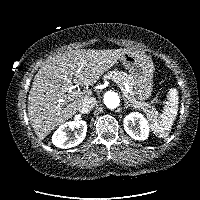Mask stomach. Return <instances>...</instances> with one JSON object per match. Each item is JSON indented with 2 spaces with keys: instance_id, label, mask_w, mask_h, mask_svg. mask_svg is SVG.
Listing matches in <instances>:
<instances>
[{
  "instance_id": "0dacf381",
  "label": "stomach",
  "mask_w": 200,
  "mask_h": 200,
  "mask_svg": "<svg viewBox=\"0 0 200 200\" xmlns=\"http://www.w3.org/2000/svg\"><path fill=\"white\" fill-rule=\"evenodd\" d=\"M120 60L133 79L134 95L141 101L149 99L154 75V65L149 55L138 50H128Z\"/></svg>"
}]
</instances>
